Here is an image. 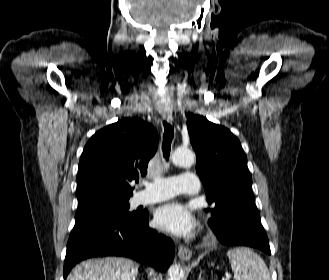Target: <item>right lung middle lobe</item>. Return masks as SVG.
I'll return each mask as SVG.
<instances>
[{
	"mask_svg": "<svg viewBox=\"0 0 329 280\" xmlns=\"http://www.w3.org/2000/svg\"><path fill=\"white\" fill-rule=\"evenodd\" d=\"M78 213L76 221L91 216L94 213L102 211H112L125 215L128 218L136 219L138 212H129V198L111 197V196H91L78 199Z\"/></svg>",
	"mask_w": 329,
	"mask_h": 280,
	"instance_id": "obj_1",
	"label": "right lung middle lobe"
}]
</instances>
